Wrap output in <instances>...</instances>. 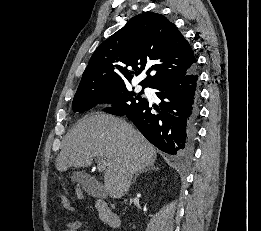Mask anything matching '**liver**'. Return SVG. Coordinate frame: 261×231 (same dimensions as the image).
Instances as JSON below:
<instances>
[{
    "mask_svg": "<svg viewBox=\"0 0 261 231\" xmlns=\"http://www.w3.org/2000/svg\"><path fill=\"white\" fill-rule=\"evenodd\" d=\"M96 156L107 160L103 190L120 198L129 191L133 174L154 164L156 150L124 119L95 113L66 134L55 167L60 172L87 167Z\"/></svg>",
    "mask_w": 261,
    "mask_h": 231,
    "instance_id": "obj_1",
    "label": "liver"
}]
</instances>
